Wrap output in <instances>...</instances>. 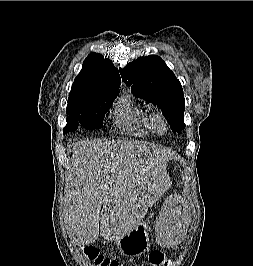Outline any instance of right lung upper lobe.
Listing matches in <instances>:
<instances>
[{
  "mask_svg": "<svg viewBox=\"0 0 253 266\" xmlns=\"http://www.w3.org/2000/svg\"><path fill=\"white\" fill-rule=\"evenodd\" d=\"M121 80L112 61L101 54L91 53L84 60L75 78L68 104H84L117 96Z\"/></svg>",
  "mask_w": 253,
  "mask_h": 266,
  "instance_id": "obj_1",
  "label": "right lung upper lobe"
}]
</instances>
